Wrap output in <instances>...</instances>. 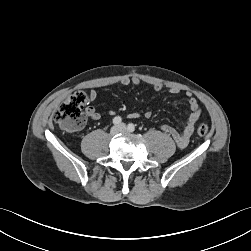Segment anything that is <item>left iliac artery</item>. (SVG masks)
Here are the masks:
<instances>
[{
  "label": "left iliac artery",
  "instance_id": "left-iliac-artery-1",
  "mask_svg": "<svg viewBox=\"0 0 251 251\" xmlns=\"http://www.w3.org/2000/svg\"><path fill=\"white\" fill-rule=\"evenodd\" d=\"M128 130H129L130 132H133V131L135 130V125H134L133 123H129V124H128Z\"/></svg>",
  "mask_w": 251,
  "mask_h": 251
}]
</instances>
